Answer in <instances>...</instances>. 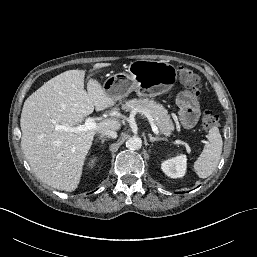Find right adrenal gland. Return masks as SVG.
<instances>
[{"label": "right adrenal gland", "instance_id": "obj_1", "mask_svg": "<svg viewBox=\"0 0 257 257\" xmlns=\"http://www.w3.org/2000/svg\"><path fill=\"white\" fill-rule=\"evenodd\" d=\"M107 139L105 136H100L99 141L101 142V145H103L104 141Z\"/></svg>", "mask_w": 257, "mask_h": 257}]
</instances>
